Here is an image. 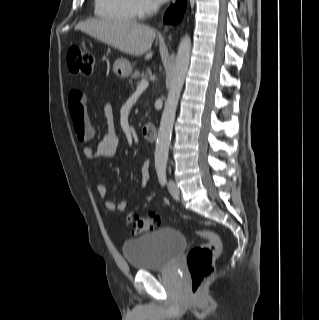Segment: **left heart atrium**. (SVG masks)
<instances>
[{
    "instance_id": "left-heart-atrium-1",
    "label": "left heart atrium",
    "mask_w": 319,
    "mask_h": 320,
    "mask_svg": "<svg viewBox=\"0 0 319 320\" xmlns=\"http://www.w3.org/2000/svg\"><path fill=\"white\" fill-rule=\"evenodd\" d=\"M159 2L163 3V2H166L167 0H158Z\"/></svg>"
}]
</instances>
